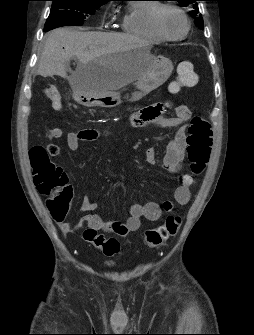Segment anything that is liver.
I'll list each match as a JSON object with an SVG mask.
<instances>
[{
	"label": "liver",
	"mask_w": 254,
	"mask_h": 335,
	"mask_svg": "<svg viewBox=\"0 0 254 335\" xmlns=\"http://www.w3.org/2000/svg\"><path fill=\"white\" fill-rule=\"evenodd\" d=\"M142 45L138 38L127 34L57 28L47 35L38 74L66 78L72 89L90 83L106 92L115 91L144 75L151 66L150 59L113 64L98 72L87 65ZM72 58L78 60V66L68 77V63Z\"/></svg>",
	"instance_id": "6515ba94"
}]
</instances>
